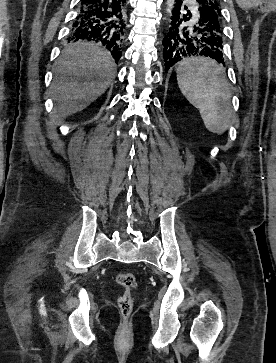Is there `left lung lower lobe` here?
Masks as SVG:
<instances>
[{
    "mask_svg": "<svg viewBox=\"0 0 276 363\" xmlns=\"http://www.w3.org/2000/svg\"><path fill=\"white\" fill-rule=\"evenodd\" d=\"M198 2V1H197ZM175 0L170 27L163 39V67L168 72L176 63L194 56H208L224 64L222 23L216 11L200 4L196 16Z\"/></svg>",
    "mask_w": 276,
    "mask_h": 363,
    "instance_id": "obj_1",
    "label": "left lung lower lobe"
}]
</instances>
